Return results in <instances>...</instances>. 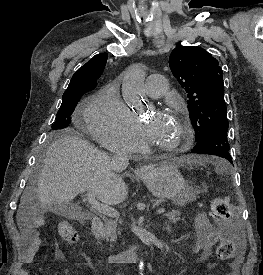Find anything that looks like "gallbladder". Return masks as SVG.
Listing matches in <instances>:
<instances>
[{
  "mask_svg": "<svg viewBox=\"0 0 263 275\" xmlns=\"http://www.w3.org/2000/svg\"><path fill=\"white\" fill-rule=\"evenodd\" d=\"M52 211L57 215L67 218H74L78 213V209H74V207L68 203H56L53 205Z\"/></svg>",
  "mask_w": 263,
  "mask_h": 275,
  "instance_id": "1",
  "label": "gallbladder"
}]
</instances>
